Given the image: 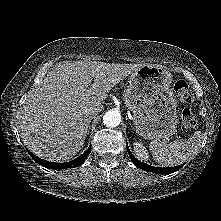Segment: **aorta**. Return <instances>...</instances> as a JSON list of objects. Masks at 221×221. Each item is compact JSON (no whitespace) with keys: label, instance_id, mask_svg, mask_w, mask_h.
<instances>
[{"label":"aorta","instance_id":"1","mask_svg":"<svg viewBox=\"0 0 221 221\" xmlns=\"http://www.w3.org/2000/svg\"><path fill=\"white\" fill-rule=\"evenodd\" d=\"M120 122L121 115L117 110H109L103 116V123L107 127H117Z\"/></svg>","mask_w":221,"mask_h":221}]
</instances>
